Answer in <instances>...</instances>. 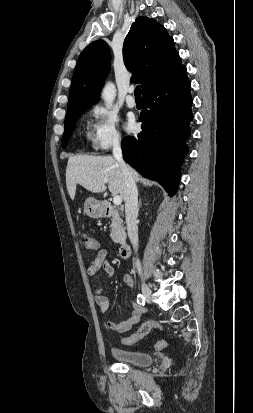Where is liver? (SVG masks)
I'll return each instance as SVG.
<instances>
[{
    "label": "liver",
    "instance_id": "1",
    "mask_svg": "<svg viewBox=\"0 0 253 413\" xmlns=\"http://www.w3.org/2000/svg\"><path fill=\"white\" fill-rule=\"evenodd\" d=\"M136 182L140 175L130 168ZM104 179H108V188L112 194H120L125 200V181L122 169L117 160L112 156H71L66 168V185L70 198H75L76 186L80 184L93 193L106 190Z\"/></svg>",
    "mask_w": 253,
    "mask_h": 413
}]
</instances>
